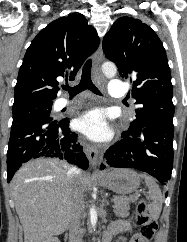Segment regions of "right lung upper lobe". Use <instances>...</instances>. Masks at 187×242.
<instances>
[{"label": "right lung upper lobe", "mask_w": 187, "mask_h": 242, "mask_svg": "<svg viewBox=\"0 0 187 242\" xmlns=\"http://www.w3.org/2000/svg\"><path fill=\"white\" fill-rule=\"evenodd\" d=\"M96 30L81 14H69L42 29L26 51L15 86L14 106L53 103L59 77L74 79L98 48Z\"/></svg>", "instance_id": "cb5924a9"}]
</instances>
